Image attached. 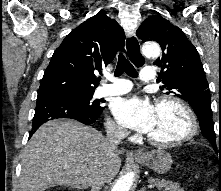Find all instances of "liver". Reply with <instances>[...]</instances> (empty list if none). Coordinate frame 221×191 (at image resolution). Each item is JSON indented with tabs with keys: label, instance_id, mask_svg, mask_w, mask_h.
I'll use <instances>...</instances> for the list:
<instances>
[{
	"label": "liver",
	"instance_id": "6515ba94",
	"mask_svg": "<svg viewBox=\"0 0 221 191\" xmlns=\"http://www.w3.org/2000/svg\"><path fill=\"white\" fill-rule=\"evenodd\" d=\"M122 151L110 148L96 129L70 119L40 126L22 159L21 191H45L55 186L85 189L95 177L109 183L119 172Z\"/></svg>",
	"mask_w": 221,
	"mask_h": 191
}]
</instances>
